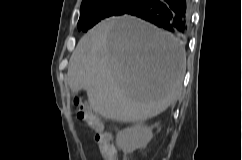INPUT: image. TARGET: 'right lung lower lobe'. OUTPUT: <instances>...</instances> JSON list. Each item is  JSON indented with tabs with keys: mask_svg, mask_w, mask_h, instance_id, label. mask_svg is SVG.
<instances>
[{
	"mask_svg": "<svg viewBox=\"0 0 242 160\" xmlns=\"http://www.w3.org/2000/svg\"><path fill=\"white\" fill-rule=\"evenodd\" d=\"M125 14L146 20L181 39L188 33L189 0H141Z\"/></svg>",
	"mask_w": 242,
	"mask_h": 160,
	"instance_id": "98d812e1",
	"label": "right lung lower lobe"
}]
</instances>
